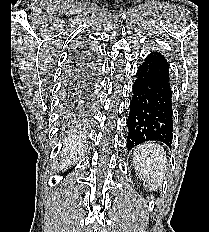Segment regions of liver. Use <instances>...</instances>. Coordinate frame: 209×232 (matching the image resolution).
I'll use <instances>...</instances> for the list:
<instances>
[{
    "mask_svg": "<svg viewBox=\"0 0 209 232\" xmlns=\"http://www.w3.org/2000/svg\"><path fill=\"white\" fill-rule=\"evenodd\" d=\"M63 150L61 155V170L67 169L68 166L77 163L84 153V143L80 137H69L63 142Z\"/></svg>",
    "mask_w": 209,
    "mask_h": 232,
    "instance_id": "6515ba94",
    "label": "liver"
}]
</instances>
